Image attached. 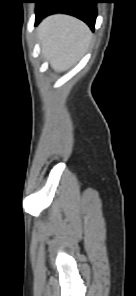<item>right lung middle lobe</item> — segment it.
<instances>
[{
  "mask_svg": "<svg viewBox=\"0 0 136 296\" xmlns=\"http://www.w3.org/2000/svg\"><path fill=\"white\" fill-rule=\"evenodd\" d=\"M39 0H35V3L37 4Z\"/></svg>",
  "mask_w": 136,
  "mask_h": 296,
  "instance_id": "dd1d6c3e",
  "label": "right lung middle lobe"
}]
</instances>
